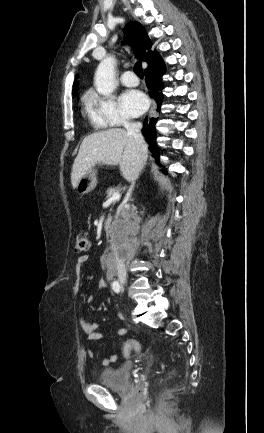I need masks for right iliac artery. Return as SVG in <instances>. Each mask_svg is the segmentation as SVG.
<instances>
[{
    "label": "right iliac artery",
    "mask_w": 264,
    "mask_h": 433,
    "mask_svg": "<svg viewBox=\"0 0 264 433\" xmlns=\"http://www.w3.org/2000/svg\"><path fill=\"white\" fill-rule=\"evenodd\" d=\"M112 289H113L116 293H119V292H120V290H121V286H120V284H119L118 281H113V283H112Z\"/></svg>",
    "instance_id": "right-iliac-artery-1"
}]
</instances>
